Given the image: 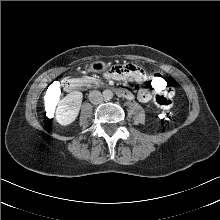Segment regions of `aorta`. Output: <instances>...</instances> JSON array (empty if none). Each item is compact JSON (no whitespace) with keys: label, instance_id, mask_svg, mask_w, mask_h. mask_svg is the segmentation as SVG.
<instances>
[{"label":"aorta","instance_id":"obj_1","mask_svg":"<svg viewBox=\"0 0 220 220\" xmlns=\"http://www.w3.org/2000/svg\"><path fill=\"white\" fill-rule=\"evenodd\" d=\"M104 97L107 98V99H110L112 97V92L109 91V90H106L104 92Z\"/></svg>","mask_w":220,"mask_h":220}]
</instances>
